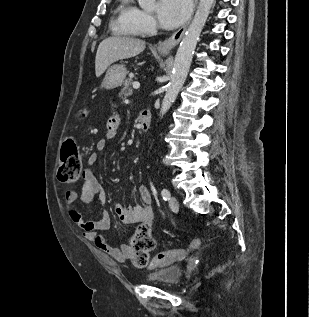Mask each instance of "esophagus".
Returning <instances> with one entry per match:
<instances>
[{"instance_id": "34e87169", "label": "esophagus", "mask_w": 309, "mask_h": 317, "mask_svg": "<svg viewBox=\"0 0 309 317\" xmlns=\"http://www.w3.org/2000/svg\"><path fill=\"white\" fill-rule=\"evenodd\" d=\"M197 3H198V0H194L193 13L196 9ZM191 18H192V16H190V18L187 20V22L181 28H179L174 34H172L169 38H167L163 42L159 43L158 50L160 52H169L172 48H174L180 42Z\"/></svg>"}]
</instances>
